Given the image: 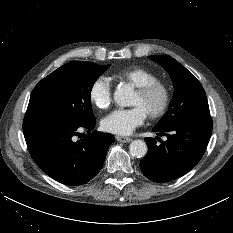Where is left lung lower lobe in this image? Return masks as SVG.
Returning a JSON list of instances; mask_svg holds the SVG:
<instances>
[{
    "instance_id": "obj_1",
    "label": "left lung lower lobe",
    "mask_w": 233,
    "mask_h": 233,
    "mask_svg": "<svg viewBox=\"0 0 233 233\" xmlns=\"http://www.w3.org/2000/svg\"><path fill=\"white\" fill-rule=\"evenodd\" d=\"M167 140L157 144L145 138L148 153L141 160L142 173L158 183L176 179L190 171L201 159L212 133L211 116L195 115L184 118L167 128H153Z\"/></svg>"
}]
</instances>
